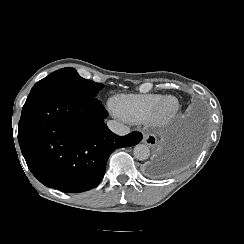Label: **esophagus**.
<instances>
[{"mask_svg": "<svg viewBox=\"0 0 244 244\" xmlns=\"http://www.w3.org/2000/svg\"><path fill=\"white\" fill-rule=\"evenodd\" d=\"M142 142L148 145L150 148H153L157 145V138L152 133H144Z\"/></svg>", "mask_w": 244, "mask_h": 244, "instance_id": "obj_1", "label": "esophagus"}]
</instances>
